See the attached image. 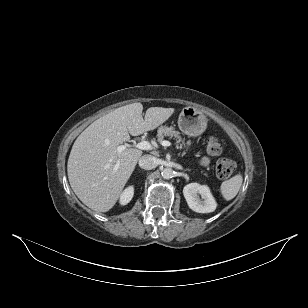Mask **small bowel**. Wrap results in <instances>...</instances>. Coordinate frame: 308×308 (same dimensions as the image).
I'll return each mask as SVG.
<instances>
[{
    "mask_svg": "<svg viewBox=\"0 0 308 308\" xmlns=\"http://www.w3.org/2000/svg\"><path fill=\"white\" fill-rule=\"evenodd\" d=\"M209 163H210V158H209V157H204V158H202L201 161H200V164H201L202 166H207V165H209Z\"/></svg>",
    "mask_w": 308,
    "mask_h": 308,
    "instance_id": "1",
    "label": "small bowel"
}]
</instances>
